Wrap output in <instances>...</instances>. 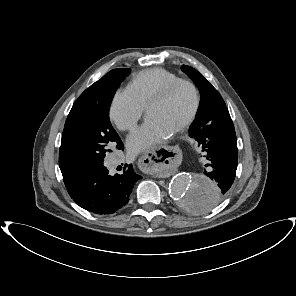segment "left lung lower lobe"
Listing matches in <instances>:
<instances>
[{"label": "left lung lower lobe", "instance_id": "left-lung-lower-lobe-1", "mask_svg": "<svg viewBox=\"0 0 296 296\" xmlns=\"http://www.w3.org/2000/svg\"><path fill=\"white\" fill-rule=\"evenodd\" d=\"M200 145L208 160L204 174L216 181L218 188L195 198L190 207L204 211L220 202L229 192L237 169V139L228 109L217 115L199 134ZM208 202V206H206Z\"/></svg>", "mask_w": 296, "mask_h": 296}]
</instances>
